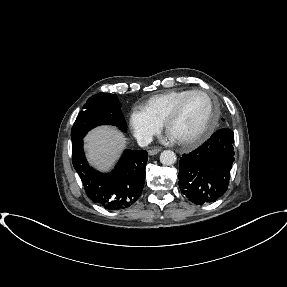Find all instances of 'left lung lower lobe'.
Listing matches in <instances>:
<instances>
[{"mask_svg":"<svg viewBox=\"0 0 287 287\" xmlns=\"http://www.w3.org/2000/svg\"><path fill=\"white\" fill-rule=\"evenodd\" d=\"M233 143V131L222 128L199 148L182 155L179 186L191 202H214L226 192L234 162Z\"/></svg>","mask_w":287,"mask_h":287,"instance_id":"left-lung-lower-lobe-1","label":"left lung lower lobe"}]
</instances>
